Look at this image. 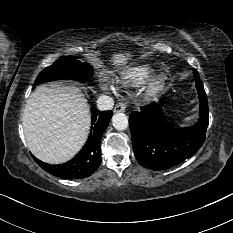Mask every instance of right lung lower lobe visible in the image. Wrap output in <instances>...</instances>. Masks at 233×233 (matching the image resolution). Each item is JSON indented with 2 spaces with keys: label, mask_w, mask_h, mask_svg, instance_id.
<instances>
[{
  "label": "right lung lower lobe",
  "mask_w": 233,
  "mask_h": 233,
  "mask_svg": "<svg viewBox=\"0 0 233 233\" xmlns=\"http://www.w3.org/2000/svg\"><path fill=\"white\" fill-rule=\"evenodd\" d=\"M92 111V130L81 151L70 161L60 165L44 163L33 156L36 163L52 175L64 179H80L92 175L101 163V138L112 117V111L99 112L95 107Z\"/></svg>",
  "instance_id": "98d812e1"
}]
</instances>
